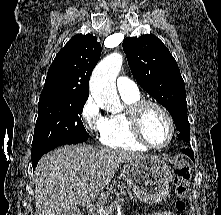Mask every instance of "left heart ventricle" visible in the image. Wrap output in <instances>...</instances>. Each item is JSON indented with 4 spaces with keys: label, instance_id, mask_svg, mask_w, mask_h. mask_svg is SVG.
I'll return each instance as SVG.
<instances>
[{
    "label": "left heart ventricle",
    "instance_id": "1",
    "mask_svg": "<svg viewBox=\"0 0 221 215\" xmlns=\"http://www.w3.org/2000/svg\"><path fill=\"white\" fill-rule=\"evenodd\" d=\"M142 128L146 138L156 146L165 144L169 138V122L164 114L153 106L145 109Z\"/></svg>",
    "mask_w": 221,
    "mask_h": 215
}]
</instances>
